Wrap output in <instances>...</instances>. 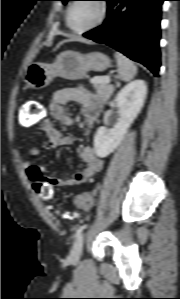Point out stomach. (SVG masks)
Wrapping results in <instances>:
<instances>
[{"label": "stomach", "instance_id": "obj_1", "mask_svg": "<svg viewBox=\"0 0 180 299\" xmlns=\"http://www.w3.org/2000/svg\"><path fill=\"white\" fill-rule=\"evenodd\" d=\"M111 64L109 57L100 52L82 54L76 51H63L56 56L53 63L35 62L27 66L24 72L25 87L42 89L55 77L77 80L89 71H104Z\"/></svg>", "mask_w": 180, "mask_h": 299}]
</instances>
